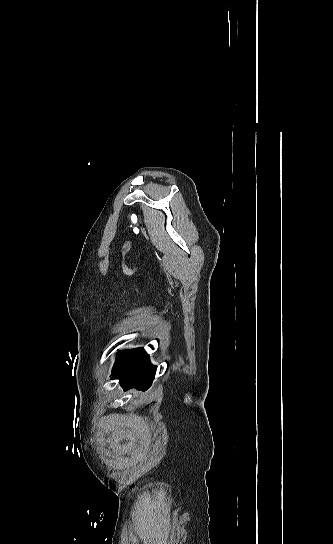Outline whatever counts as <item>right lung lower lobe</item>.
<instances>
[{
    "label": "right lung lower lobe",
    "instance_id": "98d812e1",
    "mask_svg": "<svg viewBox=\"0 0 333 544\" xmlns=\"http://www.w3.org/2000/svg\"><path fill=\"white\" fill-rule=\"evenodd\" d=\"M155 370L143 348L133 349L119 355L111 379H120L124 390L136 388L145 391L154 379Z\"/></svg>",
    "mask_w": 333,
    "mask_h": 544
}]
</instances>
